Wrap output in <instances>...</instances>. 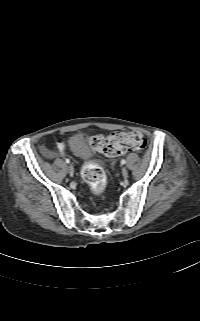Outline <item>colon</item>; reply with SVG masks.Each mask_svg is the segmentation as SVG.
Masks as SVG:
<instances>
[{
  "instance_id": "1",
  "label": "colon",
  "mask_w": 200,
  "mask_h": 321,
  "mask_svg": "<svg viewBox=\"0 0 200 321\" xmlns=\"http://www.w3.org/2000/svg\"><path fill=\"white\" fill-rule=\"evenodd\" d=\"M91 144L95 150L108 157H118L130 151L143 150L146 140L137 131L117 132L108 136H92ZM81 175L95 195L103 194L107 186V177L101 166L94 162L85 163Z\"/></svg>"
}]
</instances>
